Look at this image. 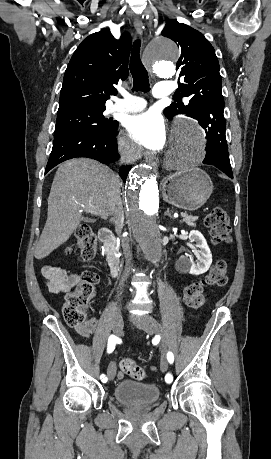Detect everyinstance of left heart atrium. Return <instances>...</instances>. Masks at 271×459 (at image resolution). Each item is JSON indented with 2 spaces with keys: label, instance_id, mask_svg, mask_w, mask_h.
<instances>
[{
  "label": "left heart atrium",
  "instance_id": "1",
  "mask_svg": "<svg viewBox=\"0 0 271 459\" xmlns=\"http://www.w3.org/2000/svg\"><path fill=\"white\" fill-rule=\"evenodd\" d=\"M127 129L132 140L139 146L159 150L167 142L166 123L162 116L155 112L149 111L131 117Z\"/></svg>",
  "mask_w": 271,
  "mask_h": 459
}]
</instances>
